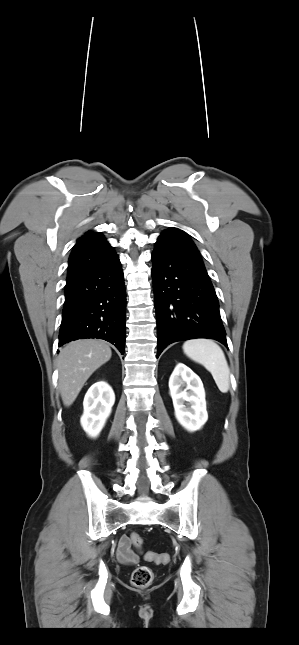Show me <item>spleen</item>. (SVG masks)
<instances>
[{
  "label": "spleen",
  "mask_w": 299,
  "mask_h": 645,
  "mask_svg": "<svg viewBox=\"0 0 299 645\" xmlns=\"http://www.w3.org/2000/svg\"><path fill=\"white\" fill-rule=\"evenodd\" d=\"M184 353L193 361L203 365L213 376L222 393L230 386V370L223 350L209 339H193L183 344Z\"/></svg>",
  "instance_id": "spleen-1"
}]
</instances>
